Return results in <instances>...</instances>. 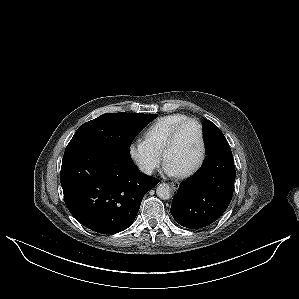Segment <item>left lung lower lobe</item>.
<instances>
[{
	"instance_id": "0a47b994",
	"label": "left lung lower lobe",
	"mask_w": 299,
	"mask_h": 299,
	"mask_svg": "<svg viewBox=\"0 0 299 299\" xmlns=\"http://www.w3.org/2000/svg\"><path fill=\"white\" fill-rule=\"evenodd\" d=\"M235 176L232 154L214 151L200 170L180 183L170 209L173 218L192 229L216 221L232 199Z\"/></svg>"
}]
</instances>
